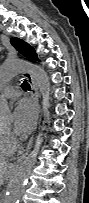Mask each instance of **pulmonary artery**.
<instances>
[{
  "label": "pulmonary artery",
  "instance_id": "1",
  "mask_svg": "<svg viewBox=\"0 0 89 203\" xmlns=\"http://www.w3.org/2000/svg\"><path fill=\"white\" fill-rule=\"evenodd\" d=\"M3 97L7 99H15L20 96L19 90L14 87V86H8L4 91H3Z\"/></svg>",
  "mask_w": 89,
  "mask_h": 203
}]
</instances>
